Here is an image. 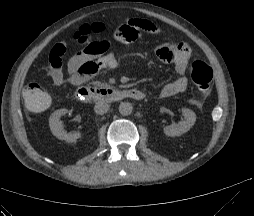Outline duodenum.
Instances as JSON below:
<instances>
[{
  "label": "duodenum",
  "instance_id": "410a0bca",
  "mask_svg": "<svg viewBox=\"0 0 254 216\" xmlns=\"http://www.w3.org/2000/svg\"><path fill=\"white\" fill-rule=\"evenodd\" d=\"M144 94L137 89H116L111 87L95 88L84 86L76 91V98L81 102L102 101L115 102L123 98L142 99Z\"/></svg>",
  "mask_w": 254,
  "mask_h": 216
}]
</instances>
